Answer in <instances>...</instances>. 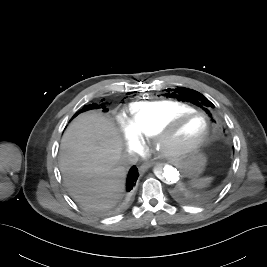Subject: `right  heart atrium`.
Masks as SVG:
<instances>
[{
    "instance_id": "obj_1",
    "label": "right heart atrium",
    "mask_w": 267,
    "mask_h": 267,
    "mask_svg": "<svg viewBox=\"0 0 267 267\" xmlns=\"http://www.w3.org/2000/svg\"><path fill=\"white\" fill-rule=\"evenodd\" d=\"M126 146L129 152L137 154L141 152L143 143L139 135L134 132H130L127 136Z\"/></svg>"
}]
</instances>
